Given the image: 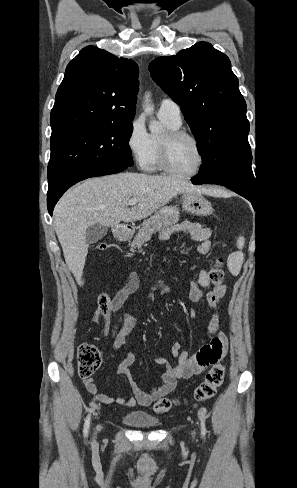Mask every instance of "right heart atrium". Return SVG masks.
<instances>
[{
	"mask_svg": "<svg viewBox=\"0 0 297 488\" xmlns=\"http://www.w3.org/2000/svg\"><path fill=\"white\" fill-rule=\"evenodd\" d=\"M126 146L135 162L140 167H145L151 153V136L141 117L132 120L126 136Z\"/></svg>",
	"mask_w": 297,
	"mask_h": 488,
	"instance_id": "d8ad5b80",
	"label": "right heart atrium"
}]
</instances>
